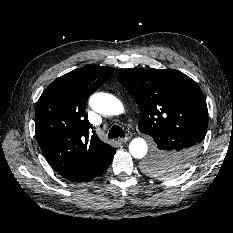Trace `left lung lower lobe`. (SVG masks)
Wrapping results in <instances>:
<instances>
[{"label":"left lung lower lobe","mask_w":233,"mask_h":233,"mask_svg":"<svg viewBox=\"0 0 233 233\" xmlns=\"http://www.w3.org/2000/svg\"><path fill=\"white\" fill-rule=\"evenodd\" d=\"M156 145L154 151H159L172 161L178 168L186 170L197 155L195 139L181 132L158 131L151 136ZM177 176L173 173L159 177Z\"/></svg>","instance_id":"obj_1"}]
</instances>
